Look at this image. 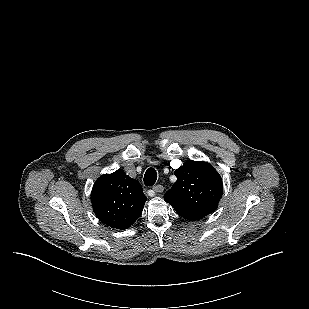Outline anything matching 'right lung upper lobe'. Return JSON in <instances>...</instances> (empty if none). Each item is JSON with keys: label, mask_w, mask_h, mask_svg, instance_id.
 <instances>
[{"label": "right lung upper lobe", "mask_w": 309, "mask_h": 309, "mask_svg": "<svg viewBox=\"0 0 309 309\" xmlns=\"http://www.w3.org/2000/svg\"><path fill=\"white\" fill-rule=\"evenodd\" d=\"M146 200L140 183L122 169L100 176L91 193L98 219L121 230L130 227L139 218Z\"/></svg>", "instance_id": "1"}]
</instances>
